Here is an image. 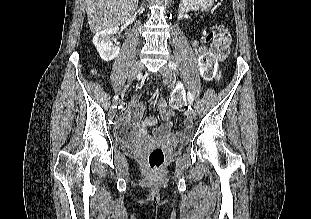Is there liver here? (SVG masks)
I'll return each mask as SVG.
<instances>
[{
  "instance_id": "1",
  "label": "liver",
  "mask_w": 311,
  "mask_h": 219,
  "mask_svg": "<svg viewBox=\"0 0 311 219\" xmlns=\"http://www.w3.org/2000/svg\"><path fill=\"white\" fill-rule=\"evenodd\" d=\"M90 30L98 33L118 27L137 9L138 0H85Z\"/></svg>"
}]
</instances>
